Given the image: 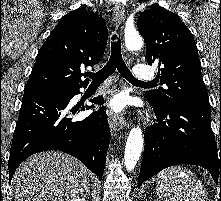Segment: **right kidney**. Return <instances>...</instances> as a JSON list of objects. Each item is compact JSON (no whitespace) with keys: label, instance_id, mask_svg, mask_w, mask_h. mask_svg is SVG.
<instances>
[{"label":"right kidney","instance_id":"right-kidney-1","mask_svg":"<svg viewBox=\"0 0 221 201\" xmlns=\"http://www.w3.org/2000/svg\"><path fill=\"white\" fill-rule=\"evenodd\" d=\"M71 201H86L84 197L74 198Z\"/></svg>","mask_w":221,"mask_h":201}]
</instances>
